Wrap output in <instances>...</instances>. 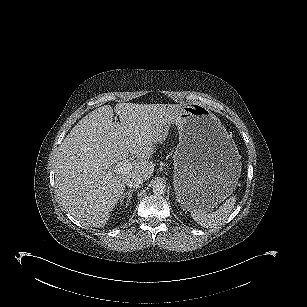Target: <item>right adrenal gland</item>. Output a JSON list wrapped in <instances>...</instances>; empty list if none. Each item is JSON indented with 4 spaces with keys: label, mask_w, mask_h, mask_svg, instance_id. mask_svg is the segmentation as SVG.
Listing matches in <instances>:
<instances>
[{
    "label": "right adrenal gland",
    "mask_w": 307,
    "mask_h": 307,
    "mask_svg": "<svg viewBox=\"0 0 307 307\" xmlns=\"http://www.w3.org/2000/svg\"><path fill=\"white\" fill-rule=\"evenodd\" d=\"M136 189H130L128 192L124 193L120 199V203L121 205H124V199L126 198V204H125V207H128L129 206V203L131 201V198H132V194L133 192L135 191Z\"/></svg>",
    "instance_id": "1"
}]
</instances>
